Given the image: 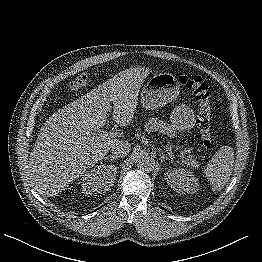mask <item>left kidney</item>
I'll return each instance as SVG.
<instances>
[{"label": "left kidney", "mask_w": 262, "mask_h": 262, "mask_svg": "<svg viewBox=\"0 0 262 262\" xmlns=\"http://www.w3.org/2000/svg\"><path fill=\"white\" fill-rule=\"evenodd\" d=\"M165 179L168 185L179 193H195L198 188V180L191 171L185 168H175L166 173Z\"/></svg>", "instance_id": "5707ae66"}]
</instances>
